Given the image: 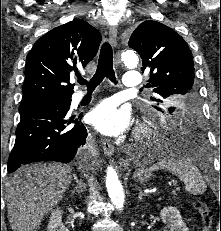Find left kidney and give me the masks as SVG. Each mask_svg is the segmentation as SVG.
Masks as SVG:
<instances>
[{
	"label": "left kidney",
	"instance_id": "left-kidney-1",
	"mask_svg": "<svg viewBox=\"0 0 221 231\" xmlns=\"http://www.w3.org/2000/svg\"><path fill=\"white\" fill-rule=\"evenodd\" d=\"M161 218L170 231H188V227L182 220L179 210L175 207H164L161 212Z\"/></svg>",
	"mask_w": 221,
	"mask_h": 231
}]
</instances>
